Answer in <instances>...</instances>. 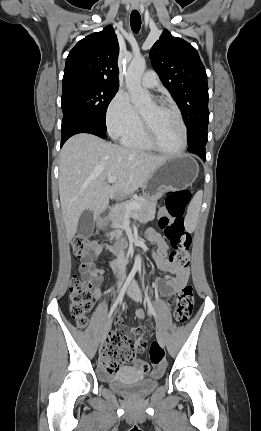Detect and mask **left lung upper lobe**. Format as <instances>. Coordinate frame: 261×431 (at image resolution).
Here are the masks:
<instances>
[{
	"label": "left lung upper lobe",
	"instance_id": "left-lung-upper-lobe-1",
	"mask_svg": "<svg viewBox=\"0 0 261 431\" xmlns=\"http://www.w3.org/2000/svg\"><path fill=\"white\" fill-rule=\"evenodd\" d=\"M163 85L182 112L189 146L207 143L209 123L207 75L198 52L188 42L164 30L149 53Z\"/></svg>",
	"mask_w": 261,
	"mask_h": 431
}]
</instances>
